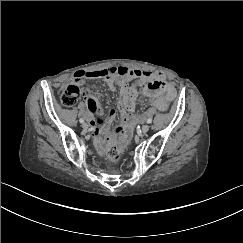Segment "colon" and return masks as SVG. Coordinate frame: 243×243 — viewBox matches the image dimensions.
Here are the masks:
<instances>
[{
    "instance_id": "obj_1",
    "label": "colon",
    "mask_w": 243,
    "mask_h": 243,
    "mask_svg": "<svg viewBox=\"0 0 243 243\" xmlns=\"http://www.w3.org/2000/svg\"><path fill=\"white\" fill-rule=\"evenodd\" d=\"M80 95V89L76 85L70 84L61 90L60 101L64 106L70 107L77 103ZM137 95V89L132 84L124 85L121 90L119 100L121 122L112 130L106 151L107 157L113 163L121 160L122 150L130 138Z\"/></svg>"
}]
</instances>
